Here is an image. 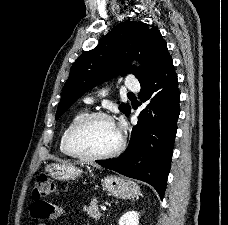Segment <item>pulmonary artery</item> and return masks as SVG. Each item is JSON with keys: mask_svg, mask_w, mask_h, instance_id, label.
I'll return each instance as SVG.
<instances>
[{"mask_svg": "<svg viewBox=\"0 0 228 225\" xmlns=\"http://www.w3.org/2000/svg\"><path fill=\"white\" fill-rule=\"evenodd\" d=\"M126 79L127 80H134L135 76L134 75H127ZM123 86H125L126 90H141L140 81H123ZM84 102L86 104H92L94 102V98L88 96V97L84 98Z\"/></svg>", "mask_w": 228, "mask_h": 225, "instance_id": "e3ab8cb5", "label": "pulmonary artery"}]
</instances>
